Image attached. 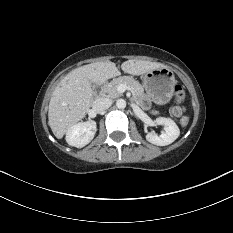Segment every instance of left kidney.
Segmentation results:
<instances>
[{
  "label": "left kidney",
  "mask_w": 233,
  "mask_h": 233,
  "mask_svg": "<svg viewBox=\"0 0 233 233\" xmlns=\"http://www.w3.org/2000/svg\"><path fill=\"white\" fill-rule=\"evenodd\" d=\"M155 122L158 125L164 126V132H162L160 135L155 133H148L146 135L148 142L157 146H166L174 142L179 137L180 130L173 120L169 118L158 117L156 118Z\"/></svg>",
  "instance_id": "left-kidney-1"
}]
</instances>
